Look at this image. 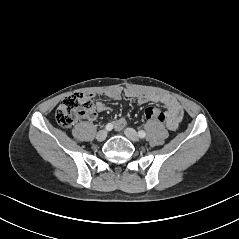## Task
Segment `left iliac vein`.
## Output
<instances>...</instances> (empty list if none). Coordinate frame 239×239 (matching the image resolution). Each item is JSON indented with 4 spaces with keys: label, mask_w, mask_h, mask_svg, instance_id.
Wrapping results in <instances>:
<instances>
[{
    "label": "left iliac vein",
    "mask_w": 239,
    "mask_h": 239,
    "mask_svg": "<svg viewBox=\"0 0 239 239\" xmlns=\"http://www.w3.org/2000/svg\"><path fill=\"white\" fill-rule=\"evenodd\" d=\"M124 134L132 142L139 141V136H138L137 132L134 129H132V128H126L124 130Z\"/></svg>",
    "instance_id": "left-iliac-vein-1"
}]
</instances>
